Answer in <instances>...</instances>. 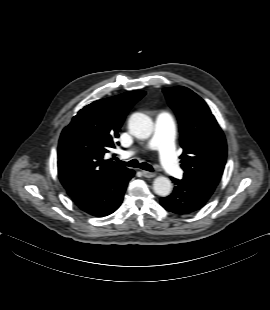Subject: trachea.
<instances>
[{
  "label": "trachea",
  "mask_w": 270,
  "mask_h": 310,
  "mask_svg": "<svg viewBox=\"0 0 270 310\" xmlns=\"http://www.w3.org/2000/svg\"><path fill=\"white\" fill-rule=\"evenodd\" d=\"M119 163L123 164V165H126L128 167H134V168H141L143 170H146V171H153V168L150 164L146 163V162H143V163H139L138 160L136 159H133L131 161H128V162H125V161H121L119 159H116Z\"/></svg>",
  "instance_id": "trachea-1"
}]
</instances>
